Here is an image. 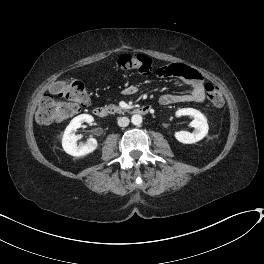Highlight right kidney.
I'll return each instance as SVG.
<instances>
[{
	"mask_svg": "<svg viewBox=\"0 0 264 264\" xmlns=\"http://www.w3.org/2000/svg\"><path fill=\"white\" fill-rule=\"evenodd\" d=\"M93 120V117L89 114H81L71 120L62 138V147L67 154L80 157L93 152L97 148L98 143L94 138H89L85 144L77 145L76 143L80 136L76 135L75 131L81 127L82 123H91Z\"/></svg>",
	"mask_w": 264,
	"mask_h": 264,
	"instance_id": "ca27d5eb",
	"label": "right kidney"
}]
</instances>
